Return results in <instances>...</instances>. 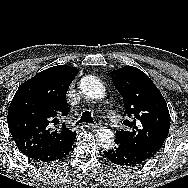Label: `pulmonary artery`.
Wrapping results in <instances>:
<instances>
[{
	"mask_svg": "<svg viewBox=\"0 0 188 188\" xmlns=\"http://www.w3.org/2000/svg\"><path fill=\"white\" fill-rule=\"evenodd\" d=\"M108 117L110 118L112 124L114 127H117V128H121L122 127V124L119 122L120 119L117 115H115V113H113L112 111H109L108 112Z\"/></svg>",
	"mask_w": 188,
	"mask_h": 188,
	"instance_id": "e3ab8cb5",
	"label": "pulmonary artery"
}]
</instances>
